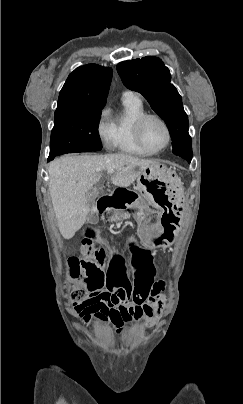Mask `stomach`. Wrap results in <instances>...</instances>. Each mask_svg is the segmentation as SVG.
I'll return each mask as SVG.
<instances>
[{
  "label": "stomach",
  "instance_id": "0dacf381",
  "mask_svg": "<svg viewBox=\"0 0 243 404\" xmlns=\"http://www.w3.org/2000/svg\"><path fill=\"white\" fill-rule=\"evenodd\" d=\"M137 189L141 197L131 207L136 210L141 241L148 248L171 245L179 232L183 213L181 180L175 172L156 162L140 171Z\"/></svg>",
  "mask_w": 243,
  "mask_h": 404
}]
</instances>
